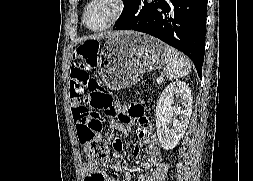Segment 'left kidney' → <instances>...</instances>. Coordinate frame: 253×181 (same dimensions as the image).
Segmentation results:
<instances>
[{
	"instance_id": "left-kidney-1",
	"label": "left kidney",
	"mask_w": 253,
	"mask_h": 181,
	"mask_svg": "<svg viewBox=\"0 0 253 181\" xmlns=\"http://www.w3.org/2000/svg\"><path fill=\"white\" fill-rule=\"evenodd\" d=\"M191 90L183 81L165 87L156 106V128L163 149L175 148L183 137L192 113Z\"/></svg>"
}]
</instances>
